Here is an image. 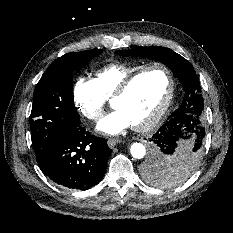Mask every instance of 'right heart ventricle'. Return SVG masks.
<instances>
[{"label": "right heart ventricle", "instance_id": "right-heart-ventricle-1", "mask_svg": "<svg viewBox=\"0 0 233 233\" xmlns=\"http://www.w3.org/2000/svg\"><path fill=\"white\" fill-rule=\"evenodd\" d=\"M144 65L110 64L95 72L94 81L105 100L111 99L121 83Z\"/></svg>", "mask_w": 233, "mask_h": 233}]
</instances>
